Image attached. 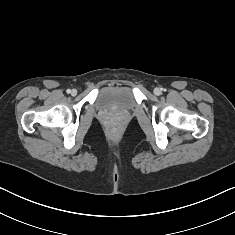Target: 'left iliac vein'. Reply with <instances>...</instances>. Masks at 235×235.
Returning a JSON list of instances; mask_svg holds the SVG:
<instances>
[{
	"instance_id": "1",
	"label": "left iliac vein",
	"mask_w": 235,
	"mask_h": 235,
	"mask_svg": "<svg viewBox=\"0 0 235 235\" xmlns=\"http://www.w3.org/2000/svg\"><path fill=\"white\" fill-rule=\"evenodd\" d=\"M154 94L155 95H160L161 94V90L159 88H155L154 89Z\"/></svg>"
}]
</instances>
